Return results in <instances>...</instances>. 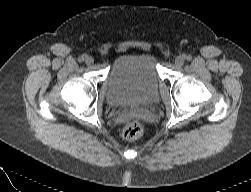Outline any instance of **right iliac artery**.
<instances>
[{
	"mask_svg": "<svg viewBox=\"0 0 251 192\" xmlns=\"http://www.w3.org/2000/svg\"><path fill=\"white\" fill-rule=\"evenodd\" d=\"M86 57H87L86 55L80 56L79 59H78L79 62H83V61L85 60Z\"/></svg>",
	"mask_w": 251,
	"mask_h": 192,
	"instance_id": "82829eb1",
	"label": "right iliac artery"
}]
</instances>
